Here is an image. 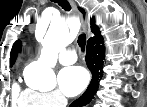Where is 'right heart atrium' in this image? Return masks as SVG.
I'll use <instances>...</instances> for the list:
<instances>
[{"label":"right heart atrium","mask_w":147,"mask_h":107,"mask_svg":"<svg viewBox=\"0 0 147 107\" xmlns=\"http://www.w3.org/2000/svg\"><path fill=\"white\" fill-rule=\"evenodd\" d=\"M38 103L43 107H55L64 103V99L58 91H49L37 94Z\"/></svg>","instance_id":"obj_1"}]
</instances>
